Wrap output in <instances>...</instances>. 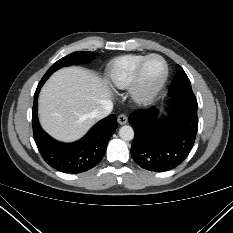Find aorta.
<instances>
[{"mask_svg": "<svg viewBox=\"0 0 233 233\" xmlns=\"http://www.w3.org/2000/svg\"><path fill=\"white\" fill-rule=\"evenodd\" d=\"M119 136L122 140L130 141L134 138V130L131 126H122L119 130Z\"/></svg>", "mask_w": 233, "mask_h": 233, "instance_id": "1", "label": "aorta"}]
</instances>
